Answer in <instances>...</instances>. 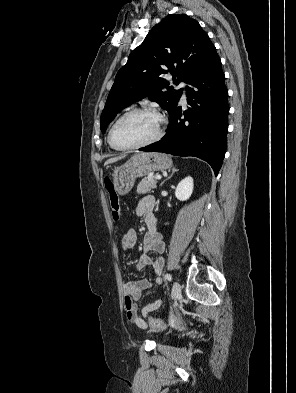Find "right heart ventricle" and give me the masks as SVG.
I'll use <instances>...</instances> for the list:
<instances>
[{
  "instance_id": "right-heart-ventricle-1",
  "label": "right heart ventricle",
  "mask_w": 296,
  "mask_h": 393,
  "mask_svg": "<svg viewBox=\"0 0 296 393\" xmlns=\"http://www.w3.org/2000/svg\"><path fill=\"white\" fill-rule=\"evenodd\" d=\"M108 143H109V140H108ZM109 145H110V143H109ZM110 147H112V146L110 145Z\"/></svg>"
}]
</instances>
